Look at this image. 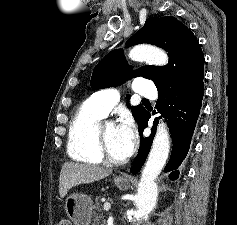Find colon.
<instances>
[{
    "mask_svg": "<svg viewBox=\"0 0 237 225\" xmlns=\"http://www.w3.org/2000/svg\"><path fill=\"white\" fill-rule=\"evenodd\" d=\"M57 225H71V222L67 218H60Z\"/></svg>",
    "mask_w": 237,
    "mask_h": 225,
    "instance_id": "obj_1",
    "label": "colon"
}]
</instances>
